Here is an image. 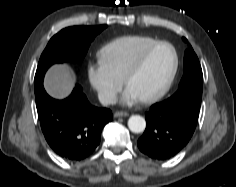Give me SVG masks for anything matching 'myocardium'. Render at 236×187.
<instances>
[{
  "label": "myocardium",
  "instance_id": "f54148a6",
  "mask_svg": "<svg viewBox=\"0 0 236 187\" xmlns=\"http://www.w3.org/2000/svg\"><path fill=\"white\" fill-rule=\"evenodd\" d=\"M161 46H167L173 52L174 62H173L171 72H170L165 84L157 92L139 99V101L141 103L156 102V101L160 100L170 90V88L175 80V77L177 75V71H178V67H179V55H178L176 48L171 43H169L167 41H157V42L153 43L152 45L148 46L145 50H143L140 53V55L137 57L135 62L132 64V66L129 68V70L127 71V73L123 79L125 86L128 87L130 80L135 75H137V73L142 69V67H143L144 63L146 62L147 58L149 57V55L155 49H157Z\"/></svg>",
  "mask_w": 236,
  "mask_h": 187
}]
</instances>
